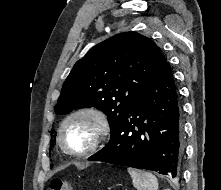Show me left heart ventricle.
Listing matches in <instances>:
<instances>
[{
  "mask_svg": "<svg viewBox=\"0 0 221 190\" xmlns=\"http://www.w3.org/2000/svg\"><path fill=\"white\" fill-rule=\"evenodd\" d=\"M95 132L96 125L90 117L78 116L67 123L63 140L68 148L80 151L92 143Z\"/></svg>",
  "mask_w": 221,
  "mask_h": 190,
  "instance_id": "left-heart-ventricle-1",
  "label": "left heart ventricle"
}]
</instances>
